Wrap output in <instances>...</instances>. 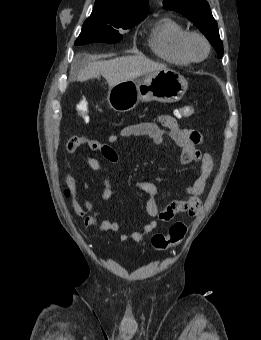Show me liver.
Returning a JSON list of instances; mask_svg holds the SVG:
<instances>
[{
	"label": "liver",
	"instance_id": "obj_1",
	"mask_svg": "<svg viewBox=\"0 0 261 340\" xmlns=\"http://www.w3.org/2000/svg\"><path fill=\"white\" fill-rule=\"evenodd\" d=\"M166 69V65L156 63L143 55L124 56L108 61H91L80 70L77 79L80 82L103 76L109 87L134 80L142 75Z\"/></svg>",
	"mask_w": 261,
	"mask_h": 340
}]
</instances>
